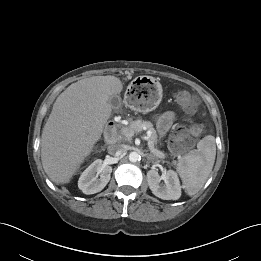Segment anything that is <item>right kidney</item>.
Returning <instances> with one entry per match:
<instances>
[{"label":"right kidney","mask_w":261,"mask_h":261,"mask_svg":"<svg viewBox=\"0 0 261 261\" xmlns=\"http://www.w3.org/2000/svg\"><path fill=\"white\" fill-rule=\"evenodd\" d=\"M111 172V166L104 165L101 159H97L83 171L78 180V187L87 195L98 193L109 182Z\"/></svg>","instance_id":"right-kidney-1"}]
</instances>
